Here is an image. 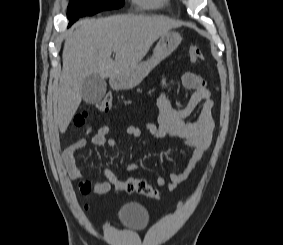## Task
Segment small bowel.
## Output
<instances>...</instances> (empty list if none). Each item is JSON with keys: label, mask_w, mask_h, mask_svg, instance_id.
<instances>
[{"label": "small bowel", "mask_w": 283, "mask_h": 245, "mask_svg": "<svg viewBox=\"0 0 283 245\" xmlns=\"http://www.w3.org/2000/svg\"><path fill=\"white\" fill-rule=\"evenodd\" d=\"M182 84L186 89L193 90V94L183 108L177 109L172 107L165 93L168 77L163 76L160 81V92L156 99V105L159 110L158 121L156 124L151 122L142 123V127L154 138V141L144 143L143 148L152 146L156 141L169 135L182 139L192 149L184 168L177 173H171L169 181L164 176L157 177V184L159 186H167L169 190H175L180 184L190 178L204 153L211 147L215 129V122L212 116L215 103L211 98V92L205 80L190 71H186L182 75ZM199 105H202L199 114L193 120L188 121L187 119ZM110 131L111 128L108 125L100 127L92 137V143L95 146L116 148L117 141L108 136ZM125 132L128 136L134 138L143 136V129L136 125L128 126ZM86 144L87 141L84 138H80L63 152L64 167L68 175L73 179L81 177L76 167L75 155ZM136 168L137 162L134 160L129 164L128 171L132 172ZM104 172L108 180L96 183L93 188L94 193L98 196L108 193L111 186H116L120 180L111 170L106 169ZM84 208L88 210L89 206L86 204Z\"/></svg>", "instance_id": "1"}]
</instances>
